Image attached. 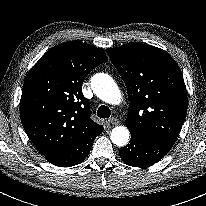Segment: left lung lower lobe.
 <instances>
[{"instance_id":"0a47b994","label":"left lung lower lobe","mask_w":206,"mask_h":206,"mask_svg":"<svg viewBox=\"0 0 206 206\" xmlns=\"http://www.w3.org/2000/svg\"><path fill=\"white\" fill-rule=\"evenodd\" d=\"M173 145L131 135L130 143L120 148L122 161L133 167H148L160 161Z\"/></svg>"}]
</instances>
